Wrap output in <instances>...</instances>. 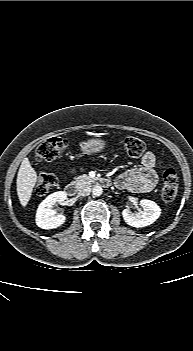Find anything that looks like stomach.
<instances>
[{"label": "stomach", "instance_id": "1", "mask_svg": "<svg viewBox=\"0 0 193 351\" xmlns=\"http://www.w3.org/2000/svg\"><path fill=\"white\" fill-rule=\"evenodd\" d=\"M106 148V142L101 139H88L80 144V151L84 154H96Z\"/></svg>", "mask_w": 193, "mask_h": 351}]
</instances>
